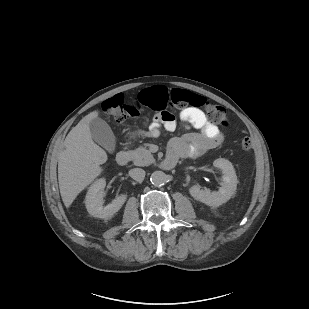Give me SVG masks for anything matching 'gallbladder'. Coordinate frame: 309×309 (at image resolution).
Here are the masks:
<instances>
[{
  "label": "gallbladder",
  "mask_w": 309,
  "mask_h": 309,
  "mask_svg": "<svg viewBox=\"0 0 309 309\" xmlns=\"http://www.w3.org/2000/svg\"><path fill=\"white\" fill-rule=\"evenodd\" d=\"M89 128L92 139L108 152L113 153L116 141L110 126L103 119L95 118L89 122Z\"/></svg>",
  "instance_id": "obj_1"
}]
</instances>
